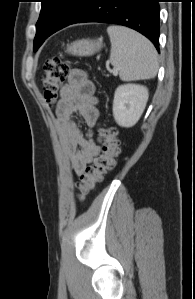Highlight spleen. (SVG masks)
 <instances>
[{
    "instance_id": "1",
    "label": "spleen",
    "mask_w": 195,
    "mask_h": 299,
    "mask_svg": "<svg viewBox=\"0 0 195 299\" xmlns=\"http://www.w3.org/2000/svg\"><path fill=\"white\" fill-rule=\"evenodd\" d=\"M110 37V62L123 81L154 78L157 74L158 54L154 45L143 35L124 26L107 28Z\"/></svg>"
}]
</instances>
